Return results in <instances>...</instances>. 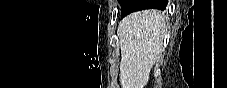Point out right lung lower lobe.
I'll use <instances>...</instances> for the list:
<instances>
[{"instance_id": "obj_1", "label": "right lung lower lobe", "mask_w": 227, "mask_h": 88, "mask_svg": "<svg viewBox=\"0 0 227 88\" xmlns=\"http://www.w3.org/2000/svg\"><path fill=\"white\" fill-rule=\"evenodd\" d=\"M168 0H132L127 7L121 12V17H125L126 15L143 10V9H160L165 10L167 6Z\"/></svg>"}]
</instances>
